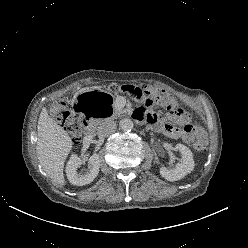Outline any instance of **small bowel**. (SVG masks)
Segmentation results:
<instances>
[{"label":"small bowel","mask_w":248,"mask_h":248,"mask_svg":"<svg viewBox=\"0 0 248 248\" xmlns=\"http://www.w3.org/2000/svg\"><path fill=\"white\" fill-rule=\"evenodd\" d=\"M135 116L139 120H144L153 125L156 129L163 131L166 135L175 139H182L186 143H192L195 140H206V133L203 129L194 126L188 121L187 117L173 116V119L181 124V127H176L171 124H162L159 117L140 108L135 112Z\"/></svg>","instance_id":"c3829d8e"}]
</instances>
